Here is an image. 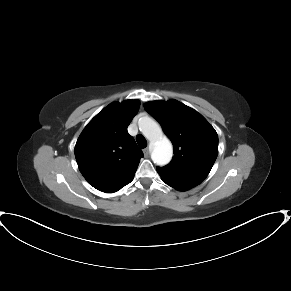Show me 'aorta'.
<instances>
[{
  "instance_id": "obj_1",
  "label": "aorta",
  "mask_w": 291,
  "mask_h": 291,
  "mask_svg": "<svg viewBox=\"0 0 291 291\" xmlns=\"http://www.w3.org/2000/svg\"><path fill=\"white\" fill-rule=\"evenodd\" d=\"M138 126L142 134L154 146L151 155L153 162L159 166L168 164L173 155V148L160 125L154 119L144 116L139 119Z\"/></svg>"
}]
</instances>
